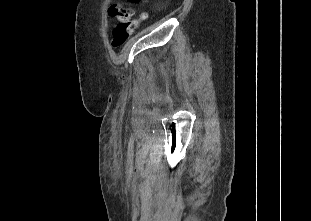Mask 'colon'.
I'll return each mask as SVG.
<instances>
[{
  "label": "colon",
  "instance_id": "colon-1",
  "mask_svg": "<svg viewBox=\"0 0 311 221\" xmlns=\"http://www.w3.org/2000/svg\"><path fill=\"white\" fill-rule=\"evenodd\" d=\"M139 0H131L132 3H137ZM109 16L117 18H130L133 13H125L123 9L119 6V2H108ZM147 13H141L139 17L136 18L137 25L132 26L131 23H120L119 26H115L112 31V45L118 47L126 43L130 35L135 31L140 22L147 18Z\"/></svg>",
  "mask_w": 311,
  "mask_h": 221
}]
</instances>
